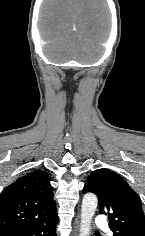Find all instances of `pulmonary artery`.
Masks as SVG:
<instances>
[{"mask_svg": "<svg viewBox=\"0 0 145 236\" xmlns=\"http://www.w3.org/2000/svg\"><path fill=\"white\" fill-rule=\"evenodd\" d=\"M95 224L98 227L103 228L105 231L110 232V229L107 226V221L104 217L98 216L95 220Z\"/></svg>", "mask_w": 145, "mask_h": 236, "instance_id": "1", "label": "pulmonary artery"}]
</instances>
